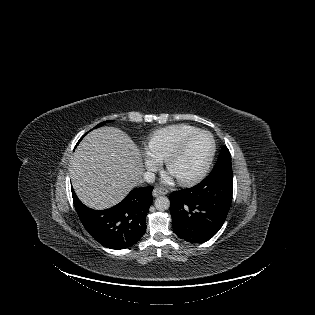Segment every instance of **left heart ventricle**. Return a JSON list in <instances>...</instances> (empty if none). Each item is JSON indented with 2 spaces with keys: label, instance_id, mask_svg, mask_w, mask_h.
Returning <instances> with one entry per match:
<instances>
[{
  "label": "left heart ventricle",
  "instance_id": "obj_1",
  "mask_svg": "<svg viewBox=\"0 0 315 315\" xmlns=\"http://www.w3.org/2000/svg\"><path fill=\"white\" fill-rule=\"evenodd\" d=\"M211 148L206 134L196 135L187 144L183 153L173 162L171 172L175 177H188L198 172L204 165Z\"/></svg>",
  "mask_w": 315,
  "mask_h": 315
}]
</instances>
